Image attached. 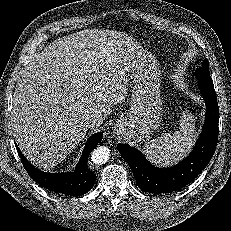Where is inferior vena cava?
I'll return each instance as SVG.
<instances>
[{"label": "inferior vena cava", "instance_id": "602c4592", "mask_svg": "<svg viewBox=\"0 0 231 231\" xmlns=\"http://www.w3.org/2000/svg\"><path fill=\"white\" fill-rule=\"evenodd\" d=\"M103 122L100 119H96V118H89L86 121V125L88 127H95V126H100Z\"/></svg>", "mask_w": 231, "mask_h": 231}]
</instances>
